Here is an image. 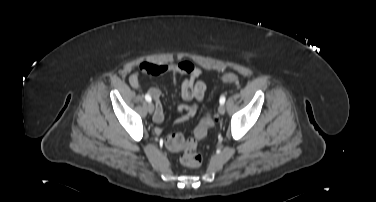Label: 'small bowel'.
I'll return each instance as SVG.
<instances>
[{
	"label": "small bowel",
	"instance_id": "c3829d8e",
	"mask_svg": "<svg viewBox=\"0 0 376 202\" xmlns=\"http://www.w3.org/2000/svg\"><path fill=\"white\" fill-rule=\"evenodd\" d=\"M141 73L153 76L171 73L175 81L180 77H184L179 84L181 97L186 102L194 101V103L180 104L177 107L178 115L175 118V122L181 123L195 116L206 92V84L201 79L202 71L198 67L186 61L172 65L143 61L139 64L138 70L129 76V83L135 89L141 88L139 82ZM147 92L155 101L153 120L156 123H162L165 117L160 101L161 91L156 87H151Z\"/></svg>",
	"mask_w": 376,
	"mask_h": 202
}]
</instances>
